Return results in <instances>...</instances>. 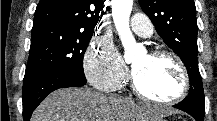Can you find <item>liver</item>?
Wrapping results in <instances>:
<instances>
[{"mask_svg":"<svg viewBox=\"0 0 217 121\" xmlns=\"http://www.w3.org/2000/svg\"><path fill=\"white\" fill-rule=\"evenodd\" d=\"M157 118L155 109L140 107L131 99L89 89L63 88L44 99L31 121H156Z\"/></svg>","mask_w":217,"mask_h":121,"instance_id":"obj_1","label":"liver"}]
</instances>
